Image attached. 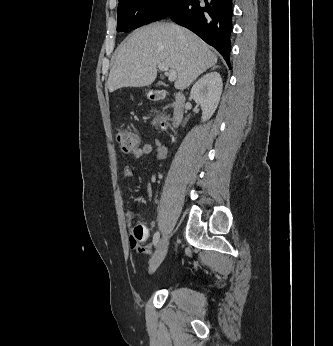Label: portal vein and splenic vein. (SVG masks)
Here are the masks:
<instances>
[{
  "mask_svg": "<svg viewBox=\"0 0 333 346\" xmlns=\"http://www.w3.org/2000/svg\"><path fill=\"white\" fill-rule=\"evenodd\" d=\"M158 68L165 72V75L168 76V80L169 81H175L177 78V73L176 71H174L173 69H169V67L167 65H165L164 63H160L158 64Z\"/></svg>",
  "mask_w": 333,
  "mask_h": 346,
  "instance_id": "18ae733b",
  "label": "portal vein and splenic vein"
}]
</instances>
